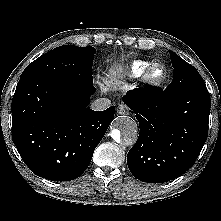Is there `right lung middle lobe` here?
<instances>
[{
	"mask_svg": "<svg viewBox=\"0 0 221 221\" xmlns=\"http://www.w3.org/2000/svg\"><path fill=\"white\" fill-rule=\"evenodd\" d=\"M95 53L96 50L91 46H59L30 63L20 79L39 76L93 84L92 64Z\"/></svg>",
	"mask_w": 221,
	"mask_h": 221,
	"instance_id": "right-lung-middle-lobe-1",
	"label": "right lung middle lobe"
}]
</instances>
